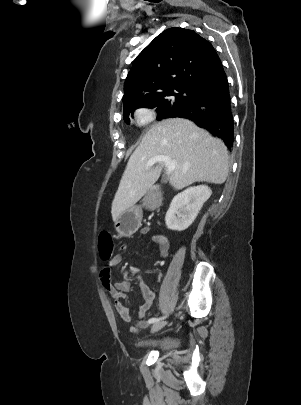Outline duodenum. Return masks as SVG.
I'll return each mask as SVG.
<instances>
[{
	"mask_svg": "<svg viewBox=\"0 0 301 405\" xmlns=\"http://www.w3.org/2000/svg\"><path fill=\"white\" fill-rule=\"evenodd\" d=\"M144 196L147 210L150 208L155 213L159 208H165L166 201L161 190H145Z\"/></svg>",
	"mask_w": 301,
	"mask_h": 405,
	"instance_id": "obj_1",
	"label": "duodenum"
}]
</instances>
